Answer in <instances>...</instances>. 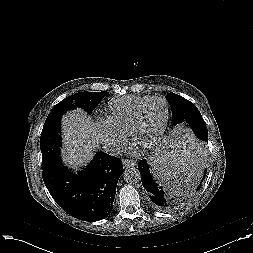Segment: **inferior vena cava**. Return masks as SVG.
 <instances>
[{"label": "inferior vena cava", "mask_w": 253, "mask_h": 253, "mask_svg": "<svg viewBox=\"0 0 253 253\" xmlns=\"http://www.w3.org/2000/svg\"><path fill=\"white\" fill-rule=\"evenodd\" d=\"M104 149L111 155H118L121 152V147H119L116 143H105Z\"/></svg>", "instance_id": "602c4592"}]
</instances>
